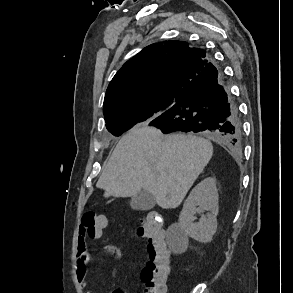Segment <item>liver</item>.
Segmentation results:
<instances>
[{
	"instance_id": "6515ba94",
	"label": "liver",
	"mask_w": 293,
	"mask_h": 293,
	"mask_svg": "<svg viewBox=\"0 0 293 293\" xmlns=\"http://www.w3.org/2000/svg\"><path fill=\"white\" fill-rule=\"evenodd\" d=\"M213 155L210 141L185 134L164 136L145 124L133 127L114 149L97 182L105 197L153 195L163 209L177 208Z\"/></svg>"
}]
</instances>
